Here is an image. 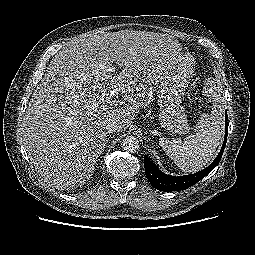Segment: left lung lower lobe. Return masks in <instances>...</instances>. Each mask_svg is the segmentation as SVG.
I'll list each match as a JSON object with an SVG mask.
<instances>
[{
    "label": "left lung lower lobe",
    "instance_id": "1",
    "mask_svg": "<svg viewBox=\"0 0 255 255\" xmlns=\"http://www.w3.org/2000/svg\"><path fill=\"white\" fill-rule=\"evenodd\" d=\"M228 117L225 116V139L222 148L215 158V160L205 169L190 175L184 176H170L164 174L159 168L145 155L144 156V166L145 173L150 184L158 190L164 192L185 190L195 183L199 182L203 177L208 175L220 162L223 151L225 149L227 134H228Z\"/></svg>",
    "mask_w": 255,
    "mask_h": 255
}]
</instances>
